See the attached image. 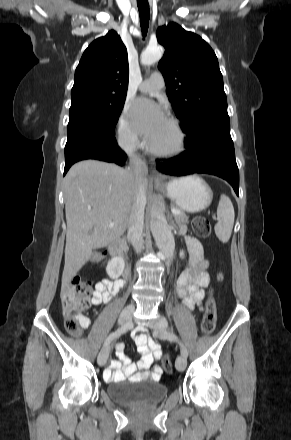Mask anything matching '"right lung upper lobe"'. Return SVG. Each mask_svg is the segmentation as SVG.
Returning a JSON list of instances; mask_svg holds the SVG:
<instances>
[{
  "instance_id": "1",
  "label": "right lung upper lobe",
  "mask_w": 291,
  "mask_h": 440,
  "mask_svg": "<svg viewBox=\"0 0 291 440\" xmlns=\"http://www.w3.org/2000/svg\"><path fill=\"white\" fill-rule=\"evenodd\" d=\"M128 77L127 49L120 36L111 30L84 51L75 71L71 101L126 97Z\"/></svg>"
}]
</instances>
